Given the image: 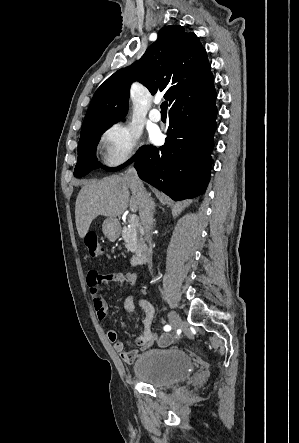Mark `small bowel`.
Here are the masks:
<instances>
[{"mask_svg":"<svg viewBox=\"0 0 299 443\" xmlns=\"http://www.w3.org/2000/svg\"><path fill=\"white\" fill-rule=\"evenodd\" d=\"M87 283L96 315L99 320H104L107 317L108 307L101 293L100 287L102 285H121L124 283L136 285L138 283V276L133 273L125 275L121 273L99 274L95 270H91L87 275ZM136 304L143 310L144 318L143 331L136 339L135 349L126 351L125 344L118 338L117 332L113 329L107 331V339L113 344L114 350L119 353L123 362L127 364L133 363L141 350L147 349L154 344L159 347H167L171 345L175 339L170 333L157 335L152 331L151 327L154 318V307L148 300L140 296L129 295L125 298L124 309L127 313L128 320L132 319Z\"/></svg>","mask_w":299,"mask_h":443,"instance_id":"1","label":"small bowel"}]
</instances>
